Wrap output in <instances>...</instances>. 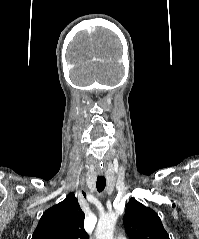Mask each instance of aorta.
<instances>
[{
  "label": "aorta",
  "mask_w": 199,
  "mask_h": 239,
  "mask_svg": "<svg viewBox=\"0 0 199 239\" xmlns=\"http://www.w3.org/2000/svg\"><path fill=\"white\" fill-rule=\"evenodd\" d=\"M116 221L117 216L114 213L100 218L95 231L96 239H113Z\"/></svg>",
  "instance_id": "aorta-1"
}]
</instances>
